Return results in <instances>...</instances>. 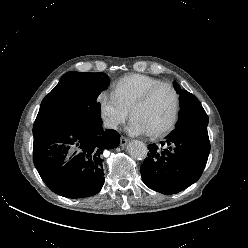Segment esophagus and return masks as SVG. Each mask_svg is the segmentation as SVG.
I'll return each instance as SVG.
<instances>
[{"label": "esophagus", "instance_id": "1", "mask_svg": "<svg viewBox=\"0 0 248 248\" xmlns=\"http://www.w3.org/2000/svg\"><path fill=\"white\" fill-rule=\"evenodd\" d=\"M128 142H129V139H127V138H125L123 136L120 138V145L122 147H125L128 144Z\"/></svg>", "mask_w": 248, "mask_h": 248}]
</instances>
